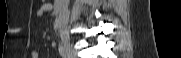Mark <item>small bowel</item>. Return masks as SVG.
Listing matches in <instances>:
<instances>
[{"label":"small bowel","mask_w":181,"mask_h":58,"mask_svg":"<svg viewBox=\"0 0 181 58\" xmlns=\"http://www.w3.org/2000/svg\"><path fill=\"white\" fill-rule=\"evenodd\" d=\"M52 9L51 4H43L37 11V15L38 16H44L48 11H50ZM31 57L32 58H38L39 57V53L36 50H33L31 52Z\"/></svg>","instance_id":"c3829d8e"}]
</instances>
